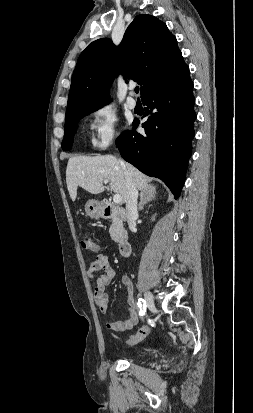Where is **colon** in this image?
Here are the masks:
<instances>
[{
    "label": "colon",
    "mask_w": 253,
    "mask_h": 413,
    "mask_svg": "<svg viewBox=\"0 0 253 413\" xmlns=\"http://www.w3.org/2000/svg\"><path fill=\"white\" fill-rule=\"evenodd\" d=\"M81 245L84 249L86 250H90V251H98L99 246L97 244V242L92 239L90 236L85 235L82 240H81ZM150 330L149 325H143L134 335H132L128 341L130 343H136L141 341L143 338L146 337V335L148 334Z\"/></svg>",
    "instance_id": "1"
}]
</instances>
